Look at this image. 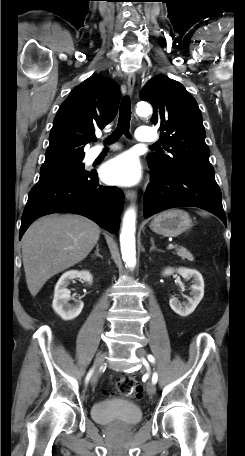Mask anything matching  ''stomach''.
<instances>
[{
    "mask_svg": "<svg viewBox=\"0 0 245 456\" xmlns=\"http://www.w3.org/2000/svg\"><path fill=\"white\" fill-rule=\"evenodd\" d=\"M149 227L157 234L176 237L192 227V220L186 211L170 209L155 216Z\"/></svg>",
    "mask_w": 245,
    "mask_h": 456,
    "instance_id": "obj_1",
    "label": "stomach"
}]
</instances>
